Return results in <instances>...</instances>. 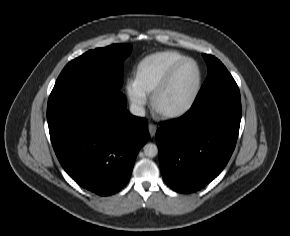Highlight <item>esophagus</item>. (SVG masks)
<instances>
[{
    "label": "esophagus",
    "instance_id": "obj_1",
    "mask_svg": "<svg viewBox=\"0 0 290 236\" xmlns=\"http://www.w3.org/2000/svg\"><path fill=\"white\" fill-rule=\"evenodd\" d=\"M148 130H149L150 136L153 137L156 134L157 126L153 123H149Z\"/></svg>",
    "mask_w": 290,
    "mask_h": 236
}]
</instances>
